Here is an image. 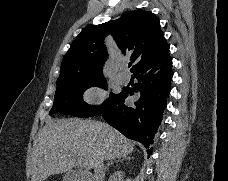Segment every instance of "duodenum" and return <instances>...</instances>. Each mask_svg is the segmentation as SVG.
Instances as JSON below:
<instances>
[{
  "instance_id": "duodenum-1",
  "label": "duodenum",
  "mask_w": 228,
  "mask_h": 181,
  "mask_svg": "<svg viewBox=\"0 0 228 181\" xmlns=\"http://www.w3.org/2000/svg\"><path fill=\"white\" fill-rule=\"evenodd\" d=\"M84 174H79L78 172H67V178L65 181H83Z\"/></svg>"
}]
</instances>
